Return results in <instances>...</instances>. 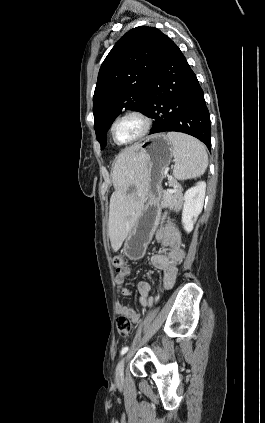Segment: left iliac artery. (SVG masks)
Returning <instances> with one entry per match:
<instances>
[{
	"label": "left iliac artery",
	"mask_w": 265,
	"mask_h": 423,
	"mask_svg": "<svg viewBox=\"0 0 265 423\" xmlns=\"http://www.w3.org/2000/svg\"><path fill=\"white\" fill-rule=\"evenodd\" d=\"M128 349H129L128 346L122 348L120 355H124L128 351Z\"/></svg>",
	"instance_id": "1"
}]
</instances>
